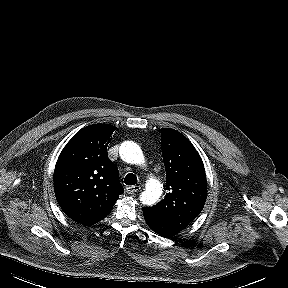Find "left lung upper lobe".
Returning a JSON list of instances; mask_svg holds the SVG:
<instances>
[{"label": "left lung upper lobe", "instance_id": "1", "mask_svg": "<svg viewBox=\"0 0 288 288\" xmlns=\"http://www.w3.org/2000/svg\"><path fill=\"white\" fill-rule=\"evenodd\" d=\"M161 136L169 193L158 204L145 208L154 217L184 229L204 207L207 197L205 169L195 147L183 134L162 128Z\"/></svg>", "mask_w": 288, "mask_h": 288}]
</instances>
